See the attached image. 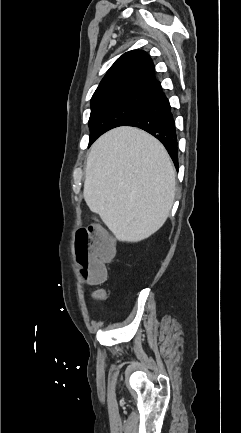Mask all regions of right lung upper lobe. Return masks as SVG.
Listing matches in <instances>:
<instances>
[{
	"instance_id": "cb5924a9",
	"label": "right lung upper lobe",
	"mask_w": 241,
	"mask_h": 433,
	"mask_svg": "<svg viewBox=\"0 0 241 433\" xmlns=\"http://www.w3.org/2000/svg\"><path fill=\"white\" fill-rule=\"evenodd\" d=\"M161 88L151 58L142 50L124 53L107 71L91 102L122 94L153 95Z\"/></svg>"
}]
</instances>
